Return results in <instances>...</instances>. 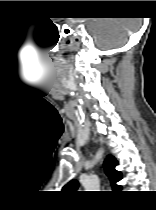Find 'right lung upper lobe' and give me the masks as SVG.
<instances>
[{
  "instance_id": "obj_1",
  "label": "right lung upper lobe",
  "mask_w": 156,
  "mask_h": 210,
  "mask_svg": "<svg viewBox=\"0 0 156 210\" xmlns=\"http://www.w3.org/2000/svg\"><path fill=\"white\" fill-rule=\"evenodd\" d=\"M117 164H118V161L113 156H108L104 162L106 175L108 176L110 183L114 189L121 188V186L116 184L119 180L122 179L121 172H119L115 169ZM65 187L75 190L78 188V181L72 180Z\"/></svg>"
}]
</instances>
